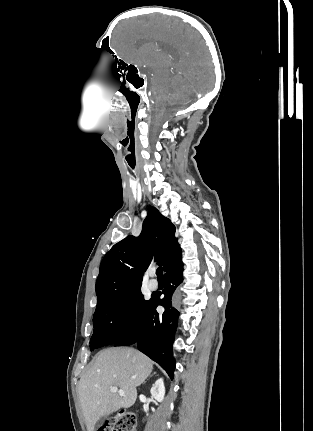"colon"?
Here are the masks:
<instances>
[{
  "instance_id": "obj_1",
  "label": "colon",
  "mask_w": 313,
  "mask_h": 431,
  "mask_svg": "<svg viewBox=\"0 0 313 431\" xmlns=\"http://www.w3.org/2000/svg\"><path fill=\"white\" fill-rule=\"evenodd\" d=\"M136 415L128 410H121L110 418L98 431H136Z\"/></svg>"
}]
</instances>
